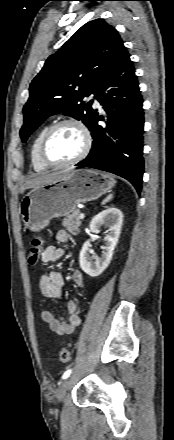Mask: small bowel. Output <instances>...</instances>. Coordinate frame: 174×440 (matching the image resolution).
Returning <instances> with one entry per match:
<instances>
[{
    "label": "small bowel",
    "mask_w": 174,
    "mask_h": 440,
    "mask_svg": "<svg viewBox=\"0 0 174 440\" xmlns=\"http://www.w3.org/2000/svg\"><path fill=\"white\" fill-rule=\"evenodd\" d=\"M56 239L59 243H67L69 241V234L61 230L56 234ZM64 254L65 251L63 248L49 245L42 251L41 261L44 263L57 262ZM72 280L78 287H82L84 284L83 274L79 270H75L72 273ZM39 284L41 292L45 297L52 299H60L62 297L65 282L63 275L59 271L44 273L40 278ZM67 310L69 313L68 321L57 318L48 310L41 311V319L49 326L50 330L57 335L64 336L71 334L81 323L82 309L77 301L70 300L67 303Z\"/></svg>",
    "instance_id": "1"
}]
</instances>
